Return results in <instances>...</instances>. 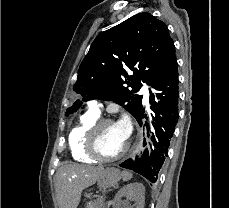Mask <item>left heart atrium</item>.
I'll list each match as a JSON object with an SVG mask.
<instances>
[{
    "label": "left heart atrium",
    "instance_id": "left-heart-atrium-1",
    "mask_svg": "<svg viewBox=\"0 0 229 208\" xmlns=\"http://www.w3.org/2000/svg\"><path fill=\"white\" fill-rule=\"evenodd\" d=\"M119 131L121 132V134L125 137L128 138V136L130 135V131H131V126H130V122L129 120L124 117L121 120H119L116 123Z\"/></svg>",
    "mask_w": 229,
    "mask_h": 208
}]
</instances>
